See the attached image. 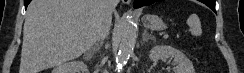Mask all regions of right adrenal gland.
<instances>
[{"label": "right adrenal gland", "instance_id": "2a0ac1e0", "mask_svg": "<svg viewBox=\"0 0 244 73\" xmlns=\"http://www.w3.org/2000/svg\"><path fill=\"white\" fill-rule=\"evenodd\" d=\"M103 45V40L98 41V43H96L90 50V52H92V54L96 53L97 51H99L101 49Z\"/></svg>", "mask_w": 244, "mask_h": 73}]
</instances>
